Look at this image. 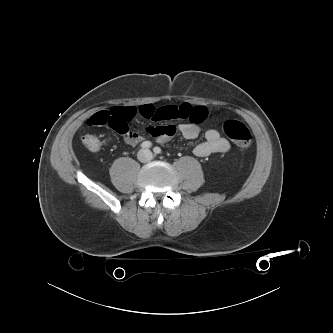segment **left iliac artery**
Listing matches in <instances>:
<instances>
[{
    "instance_id": "44dca946",
    "label": "left iliac artery",
    "mask_w": 333,
    "mask_h": 333,
    "mask_svg": "<svg viewBox=\"0 0 333 333\" xmlns=\"http://www.w3.org/2000/svg\"><path fill=\"white\" fill-rule=\"evenodd\" d=\"M161 148L160 147H154L153 148V152L155 153V154H160L161 153Z\"/></svg>"
}]
</instances>
